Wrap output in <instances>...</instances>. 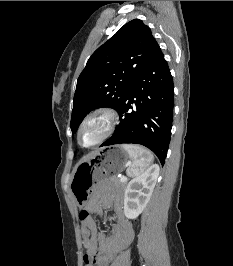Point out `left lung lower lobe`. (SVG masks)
Wrapping results in <instances>:
<instances>
[{"label": "left lung lower lobe", "instance_id": "obj_1", "mask_svg": "<svg viewBox=\"0 0 233 266\" xmlns=\"http://www.w3.org/2000/svg\"><path fill=\"white\" fill-rule=\"evenodd\" d=\"M173 108V78L157 46L118 109L119 126L101 146L141 144L152 150L164 165L171 138Z\"/></svg>", "mask_w": 233, "mask_h": 266}]
</instances>
